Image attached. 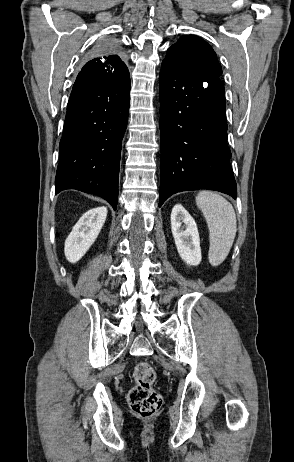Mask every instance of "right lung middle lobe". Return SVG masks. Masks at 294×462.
Segmentation results:
<instances>
[{
  "label": "right lung middle lobe",
  "mask_w": 294,
  "mask_h": 462,
  "mask_svg": "<svg viewBox=\"0 0 294 462\" xmlns=\"http://www.w3.org/2000/svg\"><path fill=\"white\" fill-rule=\"evenodd\" d=\"M118 48V42L116 39L111 37H105L100 39L92 48L90 55L95 56L105 50H116Z\"/></svg>",
  "instance_id": "dd1d6c3e"
}]
</instances>
